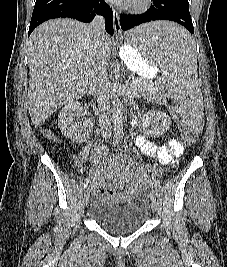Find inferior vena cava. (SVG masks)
Masks as SVG:
<instances>
[{"label": "inferior vena cava", "instance_id": "inferior-vena-cava-1", "mask_svg": "<svg viewBox=\"0 0 227 267\" xmlns=\"http://www.w3.org/2000/svg\"><path fill=\"white\" fill-rule=\"evenodd\" d=\"M88 32L92 36L97 50L90 77L89 88L97 100L99 108L100 131L103 136L111 134V111L109 80L107 78V54L103 44L105 37L104 19L96 16L88 25Z\"/></svg>", "mask_w": 227, "mask_h": 267}]
</instances>
